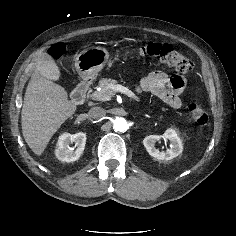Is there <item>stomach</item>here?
I'll use <instances>...</instances> for the list:
<instances>
[{
    "label": "stomach",
    "instance_id": "0dacf381",
    "mask_svg": "<svg viewBox=\"0 0 236 236\" xmlns=\"http://www.w3.org/2000/svg\"><path fill=\"white\" fill-rule=\"evenodd\" d=\"M109 53L102 47H90L75 56L74 65L83 78H94L105 67Z\"/></svg>",
    "mask_w": 236,
    "mask_h": 236
}]
</instances>
